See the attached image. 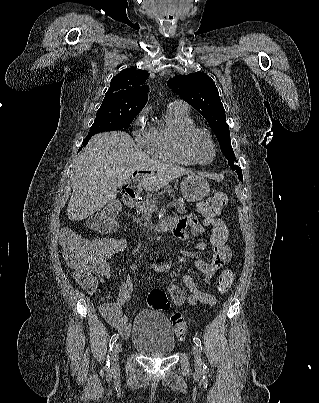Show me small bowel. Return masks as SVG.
<instances>
[{"label": "small bowel", "instance_id": "c3829d8e", "mask_svg": "<svg viewBox=\"0 0 319 403\" xmlns=\"http://www.w3.org/2000/svg\"><path fill=\"white\" fill-rule=\"evenodd\" d=\"M204 203L199 205V210L202 212ZM175 227L173 233L175 237L181 241H187L189 239L188 230L197 239L194 244V250L202 251L205 247L203 241L206 231L204 227L199 223L197 217L194 215H187L181 219H174ZM85 241H89L84 239ZM124 240V239H123ZM212 260L207 262L202 259L195 260V266L203 274L204 281L206 284H210L213 274L217 269L222 267L224 264L230 261V251L228 246L225 247H212ZM125 250V249H124ZM110 258H100L95 264V270L99 275L101 281L111 278V269L109 264ZM69 267H76L77 264L74 262H68ZM173 264H157L152 263L151 267L159 273L167 272L172 267ZM138 271L136 264H131L129 266V273L119 282V292L116 302H105L100 306V311L107 322L116 329L123 337H128L131 331V324L128 320V316L123 312V305L130 299L132 286H131V276ZM183 282L188 288L190 294L186 297L184 291L176 284H170L168 286V292L171 296L173 303L176 306L183 305L186 301L190 305H208L214 306L216 304V297L206 291L200 290L193 278L190 275L183 276Z\"/></svg>", "mask_w": 319, "mask_h": 403}]
</instances>
